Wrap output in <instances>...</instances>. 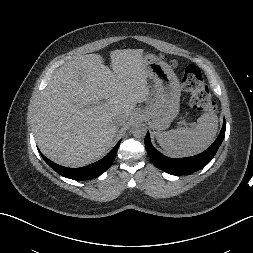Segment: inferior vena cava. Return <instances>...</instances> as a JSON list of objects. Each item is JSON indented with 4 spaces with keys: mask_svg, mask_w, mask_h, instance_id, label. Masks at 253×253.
<instances>
[{
    "mask_svg": "<svg viewBox=\"0 0 253 253\" xmlns=\"http://www.w3.org/2000/svg\"><path fill=\"white\" fill-rule=\"evenodd\" d=\"M124 120L125 119L123 116H116L113 119L114 127L118 129H124L126 127V122Z\"/></svg>",
    "mask_w": 253,
    "mask_h": 253,
    "instance_id": "obj_1",
    "label": "inferior vena cava"
}]
</instances>
